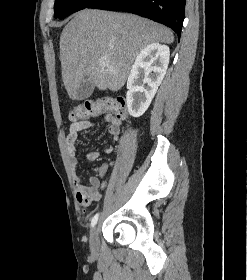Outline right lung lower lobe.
Segmentation results:
<instances>
[{
	"label": "right lung lower lobe",
	"instance_id": "98d812e1",
	"mask_svg": "<svg viewBox=\"0 0 247 280\" xmlns=\"http://www.w3.org/2000/svg\"><path fill=\"white\" fill-rule=\"evenodd\" d=\"M186 0H97L89 8L134 13L163 23L180 38Z\"/></svg>",
	"mask_w": 247,
	"mask_h": 280
}]
</instances>
